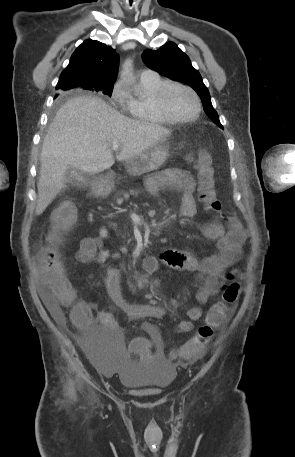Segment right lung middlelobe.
<instances>
[{"label": "right lung middle lobe", "mask_w": 295, "mask_h": 457, "mask_svg": "<svg viewBox=\"0 0 295 457\" xmlns=\"http://www.w3.org/2000/svg\"><path fill=\"white\" fill-rule=\"evenodd\" d=\"M72 87L73 88H75V87L88 88L89 86L85 83H79V84L72 85ZM92 91L102 92L103 94L111 96L112 91H113V84L95 87Z\"/></svg>", "instance_id": "dd1d6c3e"}]
</instances>
